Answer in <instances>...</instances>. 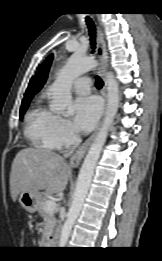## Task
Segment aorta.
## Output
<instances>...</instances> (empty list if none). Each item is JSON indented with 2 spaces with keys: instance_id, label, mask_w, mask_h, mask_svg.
<instances>
[{
  "instance_id": "1",
  "label": "aorta",
  "mask_w": 162,
  "mask_h": 261,
  "mask_svg": "<svg viewBox=\"0 0 162 261\" xmlns=\"http://www.w3.org/2000/svg\"><path fill=\"white\" fill-rule=\"evenodd\" d=\"M97 65L98 63L94 58L74 53L68 59L66 65L59 71L55 82L50 88L52 94L51 110L66 116L71 115L73 111H67V108L72 102L71 88L73 81L83 73L95 68ZM106 86L107 107L105 118L80 169L67 219L61 228L59 239V247L61 248L65 247L67 244L75 221L80 214L92 181L97 161L106 142L108 131L112 126L118 111L119 84L112 72L106 73Z\"/></svg>"
}]
</instances>
